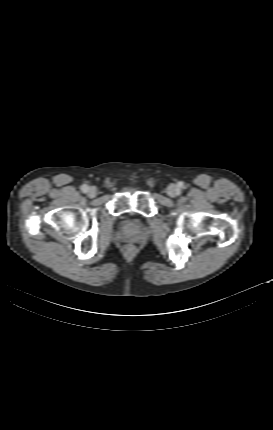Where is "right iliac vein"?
Here are the masks:
<instances>
[{"label": "right iliac vein", "instance_id": "right-iliac-vein-1", "mask_svg": "<svg viewBox=\"0 0 273 430\" xmlns=\"http://www.w3.org/2000/svg\"><path fill=\"white\" fill-rule=\"evenodd\" d=\"M96 194H97V189H96V187L92 186V187H89V188H88L87 195H88L90 198L95 197V196H96Z\"/></svg>", "mask_w": 273, "mask_h": 430}]
</instances>
